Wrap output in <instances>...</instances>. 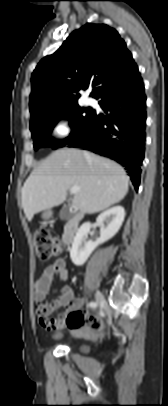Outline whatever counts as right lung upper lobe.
Instances as JSON below:
<instances>
[{
	"label": "right lung upper lobe",
	"mask_w": 168,
	"mask_h": 406,
	"mask_svg": "<svg viewBox=\"0 0 168 406\" xmlns=\"http://www.w3.org/2000/svg\"><path fill=\"white\" fill-rule=\"evenodd\" d=\"M137 68L118 32L105 24H86L72 32L32 73L31 123L77 104L78 92L90 96L126 78Z\"/></svg>",
	"instance_id": "right-lung-upper-lobe-1"
}]
</instances>
